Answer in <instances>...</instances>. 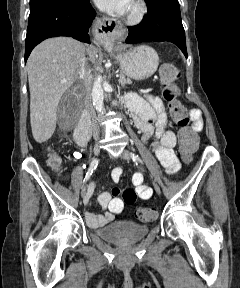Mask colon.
Instances as JSON below:
<instances>
[{
	"label": "colon",
	"mask_w": 240,
	"mask_h": 288,
	"mask_svg": "<svg viewBox=\"0 0 240 288\" xmlns=\"http://www.w3.org/2000/svg\"><path fill=\"white\" fill-rule=\"evenodd\" d=\"M179 79L177 68L171 64H164L160 69V82L162 86L163 98L168 102L169 112L172 120L179 127V147L182 157L185 161H190L197 148V136L189 124V117L186 108L179 102V91L176 82ZM48 165L55 171L61 168V158L51 153L48 158ZM137 198L136 192L132 189H126L123 192L124 201L132 205ZM135 216L145 222L153 221L157 217L155 210L144 207H136Z\"/></svg>",
	"instance_id": "5ec220e1"
}]
</instances>
